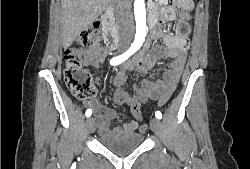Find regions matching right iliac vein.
Here are the masks:
<instances>
[{
    "mask_svg": "<svg viewBox=\"0 0 250 169\" xmlns=\"http://www.w3.org/2000/svg\"><path fill=\"white\" fill-rule=\"evenodd\" d=\"M95 130V121L92 117L86 120V131L92 133Z\"/></svg>",
    "mask_w": 250,
    "mask_h": 169,
    "instance_id": "63e3f726",
    "label": "right iliac vein"
}]
</instances>
